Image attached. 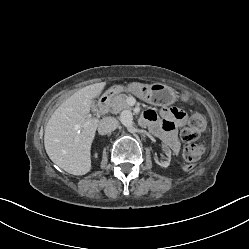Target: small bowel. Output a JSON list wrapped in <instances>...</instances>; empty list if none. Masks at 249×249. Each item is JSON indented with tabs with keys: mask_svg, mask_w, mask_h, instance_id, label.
Returning <instances> with one entry per match:
<instances>
[{
	"mask_svg": "<svg viewBox=\"0 0 249 249\" xmlns=\"http://www.w3.org/2000/svg\"><path fill=\"white\" fill-rule=\"evenodd\" d=\"M161 120L154 110H147L144 113V120L157 132L175 152L179 150V143L176 140V129L187 122V116L179 108H164L160 111Z\"/></svg>",
	"mask_w": 249,
	"mask_h": 249,
	"instance_id": "small-bowel-1",
	"label": "small bowel"
}]
</instances>
